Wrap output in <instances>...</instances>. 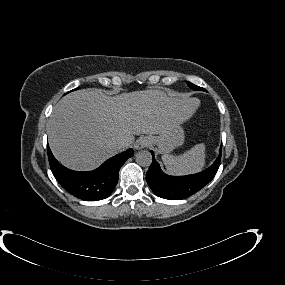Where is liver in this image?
Here are the masks:
<instances>
[{"label":"liver","mask_w":285,"mask_h":285,"mask_svg":"<svg viewBox=\"0 0 285 285\" xmlns=\"http://www.w3.org/2000/svg\"><path fill=\"white\" fill-rule=\"evenodd\" d=\"M200 102L162 90L122 93L114 97L99 89H81L64 96L48 122L52 153L63 165L91 170L130 147L135 135L162 134L192 117ZM123 149V150H124Z\"/></svg>","instance_id":"6515ba94"}]
</instances>
